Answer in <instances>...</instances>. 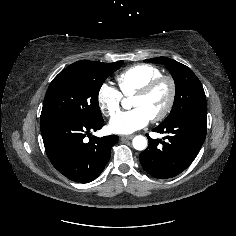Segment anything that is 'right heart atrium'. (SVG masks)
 I'll list each match as a JSON object with an SVG mask.
<instances>
[{"label":"right heart atrium","instance_id":"right-heart-atrium-1","mask_svg":"<svg viewBox=\"0 0 236 236\" xmlns=\"http://www.w3.org/2000/svg\"><path fill=\"white\" fill-rule=\"evenodd\" d=\"M122 99L121 92L108 83L102 84L98 89L97 102L101 112L107 117H112L118 112Z\"/></svg>","mask_w":236,"mask_h":236}]
</instances>
